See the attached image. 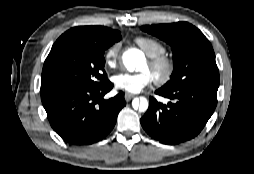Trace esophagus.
<instances>
[{
    "instance_id": "34e87169",
    "label": "esophagus",
    "mask_w": 254,
    "mask_h": 174,
    "mask_svg": "<svg viewBox=\"0 0 254 174\" xmlns=\"http://www.w3.org/2000/svg\"><path fill=\"white\" fill-rule=\"evenodd\" d=\"M135 95L134 94H130V93H126L125 94V100L128 102L130 101L132 98H134Z\"/></svg>"
}]
</instances>
